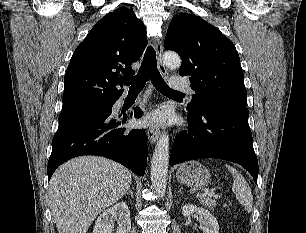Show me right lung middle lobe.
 Masks as SVG:
<instances>
[{"label": "right lung middle lobe", "instance_id": "right-lung-middle-lobe-1", "mask_svg": "<svg viewBox=\"0 0 306 233\" xmlns=\"http://www.w3.org/2000/svg\"><path fill=\"white\" fill-rule=\"evenodd\" d=\"M114 103L115 102L82 101L63 105L59 116V123L84 114L110 110Z\"/></svg>", "mask_w": 306, "mask_h": 233}]
</instances>
